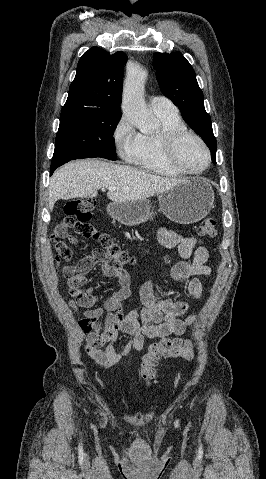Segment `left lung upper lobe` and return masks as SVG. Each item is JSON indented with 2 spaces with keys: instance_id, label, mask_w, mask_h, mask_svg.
<instances>
[{
  "instance_id": "5c2ea615",
  "label": "left lung upper lobe",
  "mask_w": 266,
  "mask_h": 479,
  "mask_svg": "<svg viewBox=\"0 0 266 479\" xmlns=\"http://www.w3.org/2000/svg\"><path fill=\"white\" fill-rule=\"evenodd\" d=\"M153 62L161 92L178 105L183 119L207 144L216 164L217 142L194 69L180 52L155 53Z\"/></svg>"
}]
</instances>
